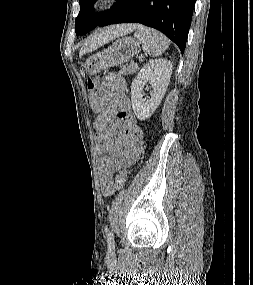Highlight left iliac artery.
I'll return each mask as SVG.
<instances>
[{"mask_svg": "<svg viewBox=\"0 0 253 285\" xmlns=\"http://www.w3.org/2000/svg\"><path fill=\"white\" fill-rule=\"evenodd\" d=\"M107 238H108V244H109V246H110L111 248H114L115 242H114L113 234H112L110 231H108V233H107Z\"/></svg>", "mask_w": 253, "mask_h": 285, "instance_id": "left-iliac-artery-1", "label": "left iliac artery"}]
</instances>
